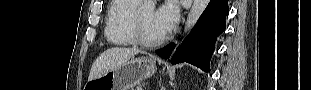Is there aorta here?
I'll return each instance as SVG.
<instances>
[{
  "label": "aorta",
  "mask_w": 311,
  "mask_h": 90,
  "mask_svg": "<svg viewBox=\"0 0 311 90\" xmlns=\"http://www.w3.org/2000/svg\"><path fill=\"white\" fill-rule=\"evenodd\" d=\"M210 0H193L192 7L188 13L186 22H185V33L187 34L193 26L198 21L199 17L205 11ZM143 8L153 10L155 8V2L153 0H145Z\"/></svg>",
  "instance_id": "1"
}]
</instances>
